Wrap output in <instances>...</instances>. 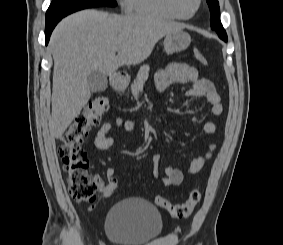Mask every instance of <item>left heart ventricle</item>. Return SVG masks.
<instances>
[{
	"mask_svg": "<svg viewBox=\"0 0 283 245\" xmlns=\"http://www.w3.org/2000/svg\"><path fill=\"white\" fill-rule=\"evenodd\" d=\"M180 5L184 12H189L195 6V0H180Z\"/></svg>",
	"mask_w": 283,
	"mask_h": 245,
	"instance_id": "1",
	"label": "left heart ventricle"
}]
</instances>
